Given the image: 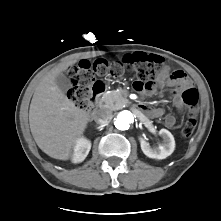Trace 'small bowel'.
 Returning a JSON list of instances; mask_svg holds the SVG:
<instances>
[{
  "instance_id": "obj_1",
  "label": "small bowel",
  "mask_w": 221,
  "mask_h": 221,
  "mask_svg": "<svg viewBox=\"0 0 221 221\" xmlns=\"http://www.w3.org/2000/svg\"><path fill=\"white\" fill-rule=\"evenodd\" d=\"M137 54H128L124 56V61H130L132 57ZM165 85H169L173 88L174 90V106L175 108L180 111L184 112L185 111V104L180 97V90L183 87H187L191 85L190 80L187 78L186 74L180 70H174L170 71L168 66H164L161 71L160 79L157 85L150 91V93L156 92L159 89H162ZM145 108V112L154 118H158L163 115L164 111L162 108H149L146 106H143ZM177 120L173 115H168L165 118V124L169 128H174L176 126Z\"/></svg>"
}]
</instances>
